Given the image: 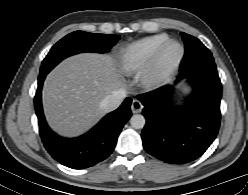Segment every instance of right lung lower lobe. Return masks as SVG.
I'll return each instance as SVG.
<instances>
[{
  "instance_id": "right-lung-lower-lobe-1",
  "label": "right lung lower lobe",
  "mask_w": 248,
  "mask_h": 195,
  "mask_svg": "<svg viewBox=\"0 0 248 195\" xmlns=\"http://www.w3.org/2000/svg\"><path fill=\"white\" fill-rule=\"evenodd\" d=\"M46 75L38 78L34 102L40 136L48 153L61 164L73 169L88 168L106 159L114 150L124 124L131 117L132 99L126 98L118 109L107 114L84 135L72 139L60 137L50 129L42 110L41 90Z\"/></svg>"
}]
</instances>
